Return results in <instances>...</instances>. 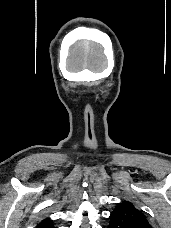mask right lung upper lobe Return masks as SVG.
Wrapping results in <instances>:
<instances>
[{"label":"right lung upper lobe","instance_id":"right-lung-upper-lobe-1","mask_svg":"<svg viewBox=\"0 0 171 228\" xmlns=\"http://www.w3.org/2000/svg\"><path fill=\"white\" fill-rule=\"evenodd\" d=\"M36 228H54L52 224V220L44 219L39 224H37Z\"/></svg>","mask_w":171,"mask_h":228}]
</instances>
